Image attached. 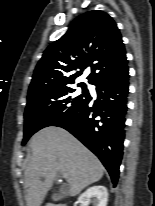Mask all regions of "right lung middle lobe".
<instances>
[{"instance_id": "right-lung-middle-lobe-1", "label": "right lung middle lobe", "mask_w": 155, "mask_h": 206, "mask_svg": "<svg viewBox=\"0 0 155 206\" xmlns=\"http://www.w3.org/2000/svg\"><path fill=\"white\" fill-rule=\"evenodd\" d=\"M82 94L76 96L75 89L70 85L48 89L27 98V107L24 114L25 127L22 145L38 130L53 126L64 119L90 99L85 85Z\"/></svg>"}]
</instances>
